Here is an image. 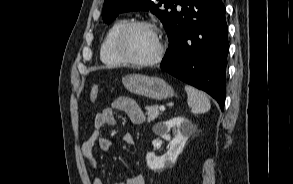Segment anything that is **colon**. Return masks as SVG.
<instances>
[{"label":"colon","instance_id":"1","mask_svg":"<svg viewBox=\"0 0 293 184\" xmlns=\"http://www.w3.org/2000/svg\"><path fill=\"white\" fill-rule=\"evenodd\" d=\"M99 90H100L99 85L95 84L92 86V88L90 90V101L92 103H94L96 101L98 94H99Z\"/></svg>","mask_w":293,"mask_h":184}]
</instances>
